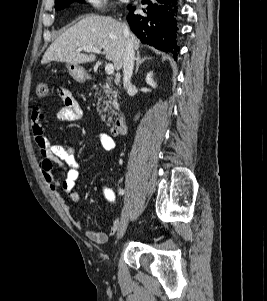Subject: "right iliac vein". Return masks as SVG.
Returning <instances> with one entry per match:
<instances>
[{
  "label": "right iliac vein",
  "mask_w": 267,
  "mask_h": 301,
  "mask_svg": "<svg viewBox=\"0 0 267 301\" xmlns=\"http://www.w3.org/2000/svg\"><path fill=\"white\" fill-rule=\"evenodd\" d=\"M128 221H129V211L127 206L124 207L123 212H122V216L119 222V228H118V233H117V237L119 239H121L128 227Z\"/></svg>",
  "instance_id": "right-iliac-vein-1"
}]
</instances>
